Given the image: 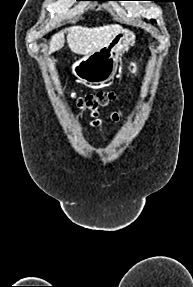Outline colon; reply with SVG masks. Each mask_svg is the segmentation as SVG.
<instances>
[{"label":"colon","instance_id":"colon-1","mask_svg":"<svg viewBox=\"0 0 193 287\" xmlns=\"http://www.w3.org/2000/svg\"><path fill=\"white\" fill-rule=\"evenodd\" d=\"M130 69L134 71L136 69V63H130ZM77 105L81 109L97 110L99 108L106 107L108 104L116 99V93L114 91H101L96 93H89L82 97H75Z\"/></svg>","mask_w":193,"mask_h":287}]
</instances>
